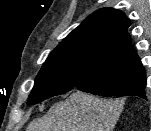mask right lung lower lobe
<instances>
[{"mask_svg":"<svg viewBox=\"0 0 151 131\" xmlns=\"http://www.w3.org/2000/svg\"><path fill=\"white\" fill-rule=\"evenodd\" d=\"M81 91L92 93L94 95L99 96H115V97H122V96H138L143 99H148L149 95L145 91V84L137 87L136 89L132 90L131 92L125 94H116L114 91L110 89H103L99 86L98 81H93L92 78L88 79V76H80L75 80V87Z\"/></svg>","mask_w":151,"mask_h":131,"instance_id":"98d812e1","label":"right lung lower lobe"}]
</instances>
